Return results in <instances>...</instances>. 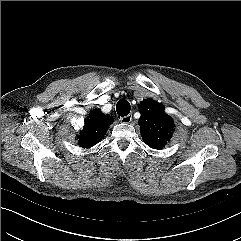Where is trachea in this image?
Instances as JSON below:
<instances>
[{"label":"trachea","mask_w":241,"mask_h":241,"mask_svg":"<svg viewBox=\"0 0 241 241\" xmlns=\"http://www.w3.org/2000/svg\"><path fill=\"white\" fill-rule=\"evenodd\" d=\"M130 109V103L127 100L121 99L117 102L116 111L118 115L122 117L127 116L130 113Z\"/></svg>","instance_id":"1"}]
</instances>
